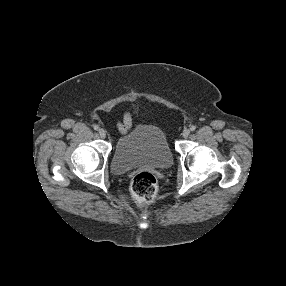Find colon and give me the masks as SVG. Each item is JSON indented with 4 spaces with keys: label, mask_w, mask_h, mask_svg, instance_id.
Here are the masks:
<instances>
[{
    "label": "colon",
    "mask_w": 286,
    "mask_h": 286,
    "mask_svg": "<svg viewBox=\"0 0 286 286\" xmlns=\"http://www.w3.org/2000/svg\"><path fill=\"white\" fill-rule=\"evenodd\" d=\"M157 191V180L149 172H140L132 179L131 193L139 202H151L156 197Z\"/></svg>",
    "instance_id": "5ec220e1"
}]
</instances>
